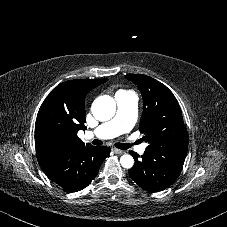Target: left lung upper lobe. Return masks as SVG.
Here are the masks:
<instances>
[{"label":"left lung upper lobe","mask_w":227,"mask_h":227,"mask_svg":"<svg viewBox=\"0 0 227 227\" xmlns=\"http://www.w3.org/2000/svg\"><path fill=\"white\" fill-rule=\"evenodd\" d=\"M137 85L143 97L139 130L149 146H188V133L181 108L173 93L159 81L140 74L125 76Z\"/></svg>","instance_id":"obj_1"}]
</instances>
